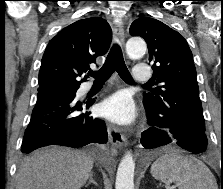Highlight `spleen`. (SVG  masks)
<instances>
[{
	"mask_svg": "<svg viewBox=\"0 0 223 189\" xmlns=\"http://www.w3.org/2000/svg\"><path fill=\"white\" fill-rule=\"evenodd\" d=\"M150 172L155 179L173 182L178 189H218L213 174L202 161L176 152L159 157Z\"/></svg>",
	"mask_w": 223,
	"mask_h": 189,
	"instance_id": "obj_1",
	"label": "spleen"
}]
</instances>
